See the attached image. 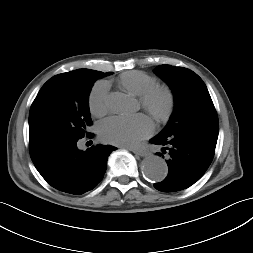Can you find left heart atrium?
<instances>
[{
  "instance_id": "1",
  "label": "left heart atrium",
  "mask_w": 253,
  "mask_h": 253,
  "mask_svg": "<svg viewBox=\"0 0 253 253\" xmlns=\"http://www.w3.org/2000/svg\"><path fill=\"white\" fill-rule=\"evenodd\" d=\"M98 131L105 142L119 146H134L153 133L154 123L145 114L111 116L99 124Z\"/></svg>"
}]
</instances>
